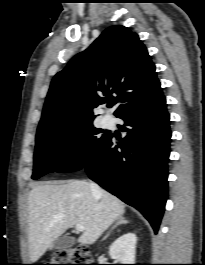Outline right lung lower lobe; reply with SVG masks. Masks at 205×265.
I'll list each match as a JSON object with an SVG mask.
<instances>
[{"instance_id":"obj_1","label":"right lung lower lobe","mask_w":205,"mask_h":265,"mask_svg":"<svg viewBox=\"0 0 205 265\" xmlns=\"http://www.w3.org/2000/svg\"><path fill=\"white\" fill-rule=\"evenodd\" d=\"M118 118L127 136H109L84 167L89 177L138 209L157 233L167 199V162L171 131L166 100L160 90L145 104Z\"/></svg>"}]
</instances>
